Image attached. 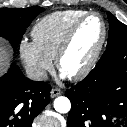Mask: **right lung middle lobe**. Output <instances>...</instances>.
Here are the masks:
<instances>
[{
  "label": "right lung middle lobe",
  "mask_w": 127,
  "mask_h": 127,
  "mask_svg": "<svg viewBox=\"0 0 127 127\" xmlns=\"http://www.w3.org/2000/svg\"><path fill=\"white\" fill-rule=\"evenodd\" d=\"M43 11L44 8L39 6L24 9L0 8V36L17 46L26 28Z\"/></svg>",
  "instance_id": "1"
}]
</instances>
